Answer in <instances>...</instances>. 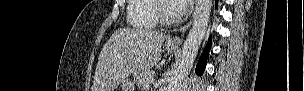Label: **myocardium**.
Returning <instances> with one entry per match:
<instances>
[{"mask_svg": "<svg viewBox=\"0 0 304 91\" xmlns=\"http://www.w3.org/2000/svg\"><path fill=\"white\" fill-rule=\"evenodd\" d=\"M171 1L168 0H158L156 1L155 5V15L157 20L159 21L160 24L162 25H171L174 24L179 16H171L167 13L165 4L169 3Z\"/></svg>", "mask_w": 304, "mask_h": 91, "instance_id": "obj_1", "label": "myocardium"}]
</instances>
